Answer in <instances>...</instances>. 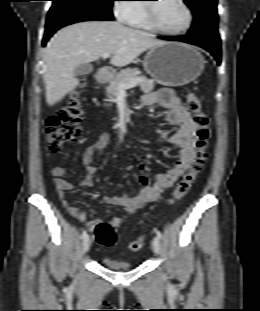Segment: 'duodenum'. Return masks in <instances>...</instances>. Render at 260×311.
<instances>
[{"mask_svg":"<svg viewBox=\"0 0 260 311\" xmlns=\"http://www.w3.org/2000/svg\"><path fill=\"white\" fill-rule=\"evenodd\" d=\"M110 77V70L108 68H101L97 74V81L99 84L103 85L105 84Z\"/></svg>","mask_w":260,"mask_h":311,"instance_id":"obj_1","label":"duodenum"}]
</instances>
